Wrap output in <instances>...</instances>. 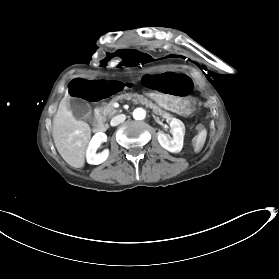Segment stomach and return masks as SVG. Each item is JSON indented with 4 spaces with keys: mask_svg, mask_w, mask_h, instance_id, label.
Returning <instances> with one entry per match:
<instances>
[{
    "mask_svg": "<svg viewBox=\"0 0 279 279\" xmlns=\"http://www.w3.org/2000/svg\"><path fill=\"white\" fill-rule=\"evenodd\" d=\"M149 97L153 99L155 105L161 106L167 110L171 109L172 112L186 117L191 116L197 108L196 101L189 96L178 99L175 96L163 97L160 94L156 95L154 92H151Z\"/></svg>",
    "mask_w": 279,
    "mask_h": 279,
    "instance_id": "1",
    "label": "stomach"
}]
</instances>
